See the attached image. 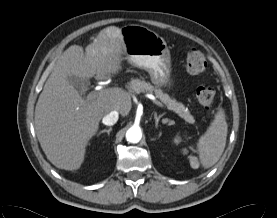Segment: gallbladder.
Wrapping results in <instances>:
<instances>
[{"instance_id": "gallbladder-1", "label": "gallbladder", "mask_w": 277, "mask_h": 218, "mask_svg": "<svg viewBox=\"0 0 277 218\" xmlns=\"http://www.w3.org/2000/svg\"><path fill=\"white\" fill-rule=\"evenodd\" d=\"M68 81L71 85L77 88L79 91H85L90 84L88 79H82L77 76H69Z\"/></svg>"}]
</instances>
